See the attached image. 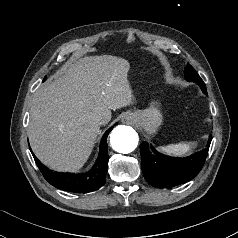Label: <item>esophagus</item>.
I'll return each mask as SVG.
<instances>
[{
  "label": "esophagus",
  "mask_w": 238,
  "mask_h": 238,
  "mask_svg": "<svg viewBox=\"0 0 238 238\" xmlns=\"http://www.w3.org/2000/svg\"><path fill=\"white\" fill-rule=\"evenodd\" d=\"M122 122L125 124H132L133 118L131 116L126 115L122 118Z\"/></svg>",
  "instance_id": "esophagus-1"
}]
</instances>
